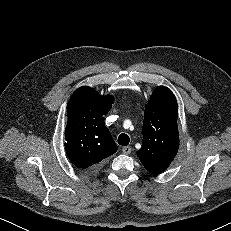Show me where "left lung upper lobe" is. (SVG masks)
I'll return each mask as SVG.
<instances>
[{"label":"left lung upper lobe","instance_id":"obj_1","mask_svg":"<svg viewBox=\"0 0 231 231\" xmlns=\"http://www.w3.org/2000/svg\"><path fill=\"white\" fill-rule=\"evenodd\" d=\"M177 101L170 89L158 86L145 107L142 148L137 156L152 174L165 171L179 148Z\"/></svg>","mask_w":231,"mask_h":231}]
</instances>
